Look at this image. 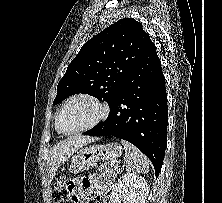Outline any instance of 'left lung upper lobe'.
Masks as SVG:
<instances>
[{
	"instance_id": "left-lung-upper-lobe-1",
	"label": "left lung upper lobe",
	"mask_w": 222,
	"mask_h": 203,
	"mask_svg": "<svg viewBox=\"0 0 222 203\" xmlns=\"http://www.w3.org/2000/svg\"><path fill=\"white\" fill-rule=\"evenodd\" d=\"M150 36L142 24L125 18L87 41L57 85L53 104L85 93L111 103L144 54Z\"/></svg>"
}]
</instances>
